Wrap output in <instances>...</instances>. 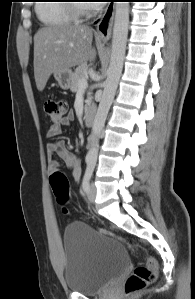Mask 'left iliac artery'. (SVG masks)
Instances as JSON below:
<instances>
[{"mask_svg": "<svg viewBox=\"0 0 195 299\" xmlns=\"http://www.w3.org/2000/svg\"><path fill=\"white\" fill-rule=\"evenodd\" d=\"M95 164L96 163L94 161L87 162L86 171H85L83 181H82V188H83L84 192H88V190H89V184H90L91 177L93 175Z\"/></svg>", "mask_w": 195, "mask_h": 299, "instance_id": "obj_1", "label": "left iliac artery"}]
</instances>
